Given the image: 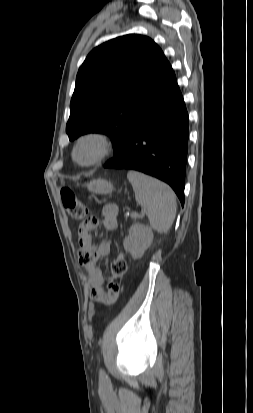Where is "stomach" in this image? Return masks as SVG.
<instances>
[{
    "mask_svg": "<svg viewBox=\"0 0 253 413\" xmlns=\"http://www.w3.org/2000/svg\"><path fill=\"white\" fill-rule=\"evenodd\" d=\"M89 191L95 194H109L113 190V185L104 179L92 180L87 184Z\"/></svg>",
    "mask_w": 253,
    "mask_h": 413,
    "instance_id": "0dacf381",
    "label": "stomach"
}]
</instances>
